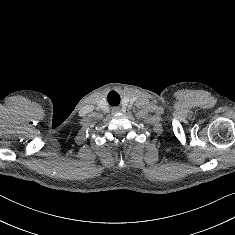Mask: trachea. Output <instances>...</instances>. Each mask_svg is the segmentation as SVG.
Masks as SVG:
<instances>
[{
  "instance_id": "1",
  "label": "trachea",
  "mask_w": 235,
  "mask_h": 235,
  "mask_svg": "<svg viewBox=\"0 0 235 235\" xmlns=\"http://www.w3.org/2000/svg\"><path fill=\"white\" fill-rule=\"evenodd\" d=\"M115 95V97L111 98V95ZM108 102L111 106L118 105L120 102V96L116 92H110L108 95Z\"/></svg>"
}]
</instances>
